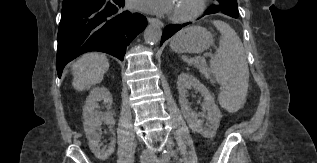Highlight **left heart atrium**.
<instances>
[{
  "label": "left heart atrium",
  "instance_id": "1",
  "mask_svg": "<svg viewBox=\"0 0 317 163\" xmlns=\"http://www.w3.org/2000/svg\"><path fill=\"white\" fill-rule=\"evenodd\" d=\"M139 10L155 14H166L172 11L175 0H130Z\"/></svg>",
  "mask_w": 317,
  "mask_h": 163
}]
</instances>
